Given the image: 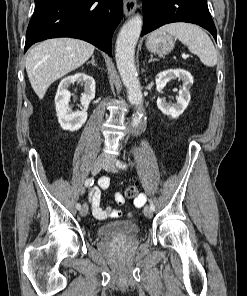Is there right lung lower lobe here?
<instances>
[{"label":"right lung lower lobe","mask_w":247,"mask_h":296,"mask_svg":"<svg viewBox=\"0 0 247 296\" xmlns=\"http://www.w3.org/2000/svg\"><path fill=\"white\" fill-rule=\"evenodd\" d=\"M123 0H35L24 53L35 42L56 37L85 40L109 56Z\"/></svg>","instance_id":"98d812e1"}]
</instances>
